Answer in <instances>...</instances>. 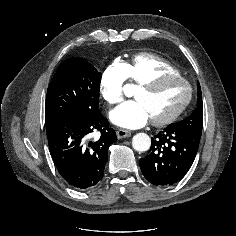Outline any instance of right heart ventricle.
<instances>
[{
    "label": "right heart ventricle",
    "instance_id": "1",
    "mask_svg": "<svg viewBox=\"0 0 236 236\" xmlns=\"http://www.w3.org/2000/svg\"><path fill=\"white\" fill-rule=\"evenodd\" d=\"M127 66V80L140 85L158 75L178 74V70L165 59L150 53L135 56Z\"/></svg>",
    "mask_w": 236,
    "mask_h": 236
}]
</instances>
